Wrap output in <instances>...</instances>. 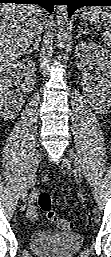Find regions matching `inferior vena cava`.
I'll return each mask as SVG.
<instances>
[{"mask_svg": "<svg viewBox=\"0 0 111 257\" xmlns=\"http://www.w3.org/2000/svg\"><path fill=\"white\" fill-rule=\"evenodd\" d=\"M42 33V27H39L36 34H35V40L38 42L40 41V34Z\"/></svg>", "mask_w": 111, "mask_h": 257, "instance_id": "602c4592", "label": "inferior vena cava"}]
</instances>
